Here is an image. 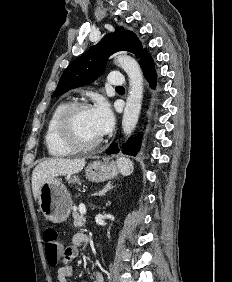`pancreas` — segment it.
Instances as JSON below:
<instances>
[{
  "instance_id": "obj_1",
  "label": "pancreas",
  "mask_w": 232,
  "mask_h": 282,
  "mask_svg": "<svg viewBox=\"0 0 232 282\" xmlns=\"http://www.w3.org/2000/svg\"><path fill=\"white\" fill-rule=\"evenodd\" d=\"M73 218H74V227L75 228H80L85 224L86 219L82 214L73 212Z\"/></svg>"
}]
</instances>
